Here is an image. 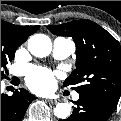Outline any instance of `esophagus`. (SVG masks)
Returning a JSON list of instances; mask_svg holds the SVG:
<instances>
[{"instance_id": "34e87169", "label": "esophagus", "mask_w": 121, "mask_h": 121, "mask_svg": "<svg viewBox=\"0 0 121 121\" xmlns=\"http://www.w3.org/2000/svg\"><path fill=\"white\" fill-rule=\"evenodd\" d=\"M48 102L51 103V104H56L57 103V100L49 99Z\"/></svg>"}]
</instances>
